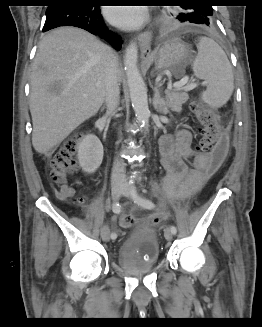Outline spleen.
Masks as SVG:
<instances>
[{
  "label": "spleen",
  "mask_w": 262,
  "mask_h": 327,
  "mask_svg": "<svg viewBox=\"0 0 262 327\" xmlns=\"http://www.w3.org/2000/svg\"><path fill=\"white\" fill-rule=\"evenodd\" d=\"M192 69L196 77L207 83L201 94L202 101L212 108L226 104L234 89L233 72L225 52L213 39H199Z\"/></svg>",
  "instance_id": "3e777b00"
}]
</instances>
